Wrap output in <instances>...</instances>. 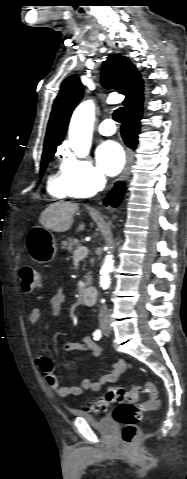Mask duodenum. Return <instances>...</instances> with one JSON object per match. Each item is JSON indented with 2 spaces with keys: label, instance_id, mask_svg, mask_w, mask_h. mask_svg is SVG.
I'll return each mask as SVG.
<instances>
[{
  "label": "duodenum",
  "instance_id": "1",
  "mask_svg": "<svg viewBox=\"0 0 187 479\" xmlns=\"http://www.w3.org/2000/svg\"><path fill=\"white\" fill-rule=\"evenodd\" d=\"M97 297V290L93 287L85 288L82 292V300L86 305H92Z\"/></svg>",
  "mask_w": 187,
  "mask_h": 479
}]
</instances>
